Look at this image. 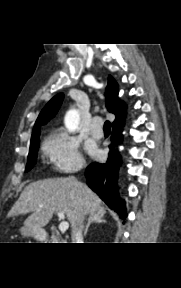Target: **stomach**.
<instances>
[{
	"instance_id": "obj_1",
	"label": "stomach",
	"mask_w": 181,
	"mask_h": 288,
	"mask_svg": "<svg viewBox=\"0 0 181 288\" xmlns=\"http://www.w3.org/2000/svg\"><path fill=\"white\" fill-rule=\"evenodd\" d=\"M20 231H21V234L24 236L34 237L39 240H41L43 236L42 231H37L26 226L22 227Z\"/></svg>"
}]
</instances>
